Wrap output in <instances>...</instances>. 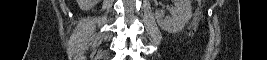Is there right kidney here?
Segmentation results:
<instances>
[{"label": "right kidney", "instance_id": "right-kidney-1", "mask_svg": "<svg viewBox=\"0 0 267 60\" xmlns=\"http://www.w3.org/2000/svg\"><path fill=\"white\" fill-rule=\"evenodd\" d=\"M99 0H77L80 9L88 11L92 9Z\"/></svg>", "mask_w": 267, "mask_h": 60}]
</instances>
